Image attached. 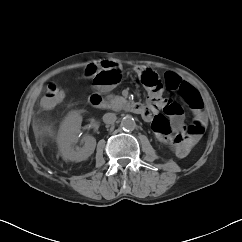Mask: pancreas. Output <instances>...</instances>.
I'll return each instance as SVG.
<instances>
[{"label": "pancreas", "instance_id": "pancreas-1", "mask_svg": "<svg viewBox=\"0 0 242 242\" xmlns=\"http://www.w3.org/2000/svg\"><path fill=\"white\" fill-rule=\"evenodd\" d=\"M108 108L114 111L121 110L127 103L126 99L121 96L109 95L107 96Z\"/></svg>", "mask_w": 242, "mask_h": 242}]
</instances>
